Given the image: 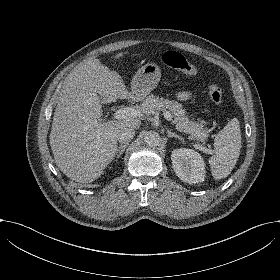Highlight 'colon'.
Segmentation results:
<instances>
[{"label": "colon", "instance_id": "5ec220e1", "mask_svg": "<svg viewBox=\"0 0 280 280\" xmlns=\"http://www.w3.org/2000/svg\"><path fill=\"white\" fill-rule=\"evenodd\" d=\"M164 61L172 68L183 71L188 75L195 72L196 66L193 62L186 60L172 51H168L163 56ZM209 96L213 103L220 105L223 102V92L220 87L211 85L209 87Z\"/></svg>", "mask_w": 280, "mask_h": 280}]
</instances>
